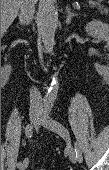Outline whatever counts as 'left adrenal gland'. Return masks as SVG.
Returning <instances> with one entry per match:
<instances>
[{
    "mask_svg": "<svg viewBox=\"0 0 109 170\" xmlns=\"http://www.w3.org/2000/svg\"><path fill=\"white\" fill-rule=\"evenodd\" d=\"M66 13H67L66 24H70V23H71V19H72L74 16H77V15H78V13L72 12L69 6L66 7Z\"/></svg>",
    "mask_w": 109,
    "mask_h": 170,
    "instance_id": "obj_1",
    "label": "left adrenal gland"
}]
</instances>
